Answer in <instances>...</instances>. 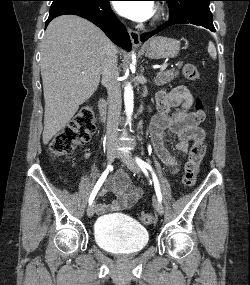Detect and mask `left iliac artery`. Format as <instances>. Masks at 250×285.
Wrapping results in <instances>:
<instances>
[{
  "label": "left iliac artery",
  "instance_id": "obj_1",
  "mask_svg": "<svg viewBox=\"0 0 250 285\" xmlns=\"http://www.w3.org/2000/svg\"><path fill=\"white\" fill-rule=\"evenodd\" d=\"M136 162L137 164L140 166V168L142 170L148 169L151 173H152V178H153V182H154V187H155V191H156V195L158 197V200L161 201L162 200V196H161V191H160V186H159V182L158 179L151 167L150 164L144 162L142 159H140L139 157H136Z\"/></svg>",
  "mask_w": 250,
  "mask_h": 285
}]
</instances>
